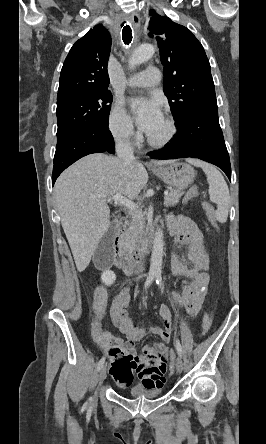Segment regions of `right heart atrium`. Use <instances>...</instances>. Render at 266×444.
<instances>
[{
  "label": "right heart atrium",
  "mask_w": 266,
  "mask_h": 444,
  "mask_svg": "<svg viewBox=\"0 0 266 444\" xmlns=\"http://www.w3.org/2000/svg\"><path fill=\"white\" fill-rule=\"evenodd\" d=\"M108 127L119 142H132L137 137L134 122L122 103L118 102L112 107Z\"/></svg>",
  "instance_id": "right-heart-atrium-1"
}]
</instances>
